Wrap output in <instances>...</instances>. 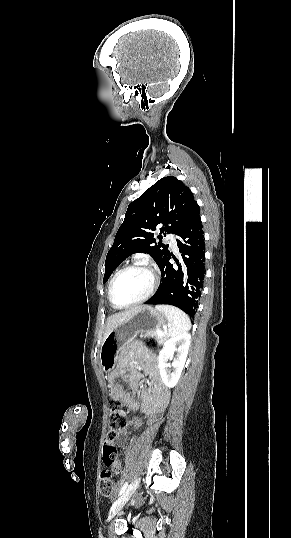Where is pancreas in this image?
I'll list each match as a JSON object with an SVG mask.
<instances>
[{
    "label": "pancreas",
    "mask_w": 291,
    "mask_h": 538,
    "mask_svg": "<svg viewBox=\"0 0 291 538\" xmlns=\"http://www.w3.org/2000/svg\"><path fill=\"white\" fill-rule=\"evenodd\" d=\"M144 336L154 337L157 340L158 344H163L168 338L167 334L159 335L157 332H148V333H145Z\"/></svg>",
    "instance_id": "1"
}]
</instances>
